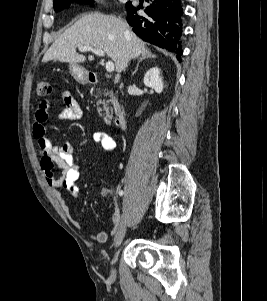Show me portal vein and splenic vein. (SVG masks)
I'll use <instances>...</instances> for the list:
<instances>
[{
	"mask_svg": "<svg viewBox=\"0 0 267 301\" xmlns=\"http://www.w3.org/2000/svg\"><path fill=\"white\" fill-rule=\"evenodd\" d=\"M79 51L81 52H86V51H92L93 53H95L98 56H104L105 53L103 50L101 49H96V48H92V47H88V46H81L78 48ZM106 71L107 72H113L114 71V63L112 61H108L106 63Z\"/></svg>",
	"mask_w": 267,
	"mask_h": 301,
	"instance_id": "obj_1",
	"label": "portal vein and splenic vein"
}]
</instances>
